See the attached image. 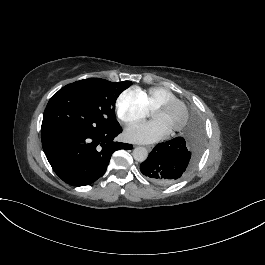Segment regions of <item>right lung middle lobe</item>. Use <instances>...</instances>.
<instances>
[{"label": "right lung middle lobe", "mask_w": 265, "mask_h": 265, "mask_svg": "<svg viewBox=\"0 0 265 265\" xmlns=\"http://www.w3.org/2000/svg\"><path fill=\"white\" fill-rule=\"evenodd\" d=\"M131 84L89 78L64 86L47 104L41 136L67 130L104 132L119 127L115 102Z\"/></svg>", "instance_id": "right-lung-middle-lobe-1"}]
</instances>
